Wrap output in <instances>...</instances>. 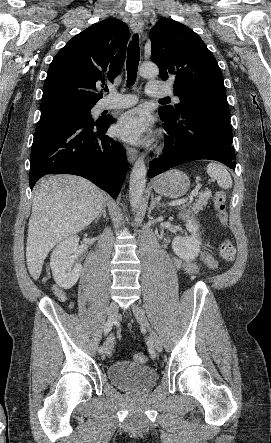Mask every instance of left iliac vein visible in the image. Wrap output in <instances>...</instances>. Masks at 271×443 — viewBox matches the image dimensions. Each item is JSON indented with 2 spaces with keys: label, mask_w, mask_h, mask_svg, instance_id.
Returning a JSON list of instances; mask_svg holds the SVG:
<instances>
[{
  "label": "left iliac vein",
  "mask_w": 271,
  "mask_h": 443,
  "mask_svg": "<svg viewBox=\"0 0 271 443\" xmlns=\"http://www.w3.org/2000/svg\"><path fill=\"white\" fill-rule=\"evenodd\" d=\"M131 308L137 322L150 332L156 350L158 352H161L162 351L161 340L158 337V335L151 329L148 319L145 315V311L138 304H133Z\"/></svg>",
  "instance_id": "obj_1"
}]
</instances>
